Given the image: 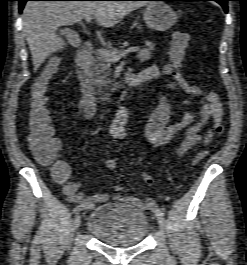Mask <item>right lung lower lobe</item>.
Wrapping results in <instances>:
<instances>
[{
    "instance_id": "right-lung-lower-lobe-1",
    "label": "right lung lower lobe",
    "mask_w": 247,
    "mask_h": 265,
    "mask_svg": "<svg viewBox=\"0 0 247 265\" xmlns=\"http://www.w3.org/2000/svg\"><path fill=\"white\" fill-rule=\"evenodd\" d=\"M18 1H19V11L21 13L26 1L30 0H18ZM80 1H102V0H80Z\"/></svg>"
}]
</instances>
